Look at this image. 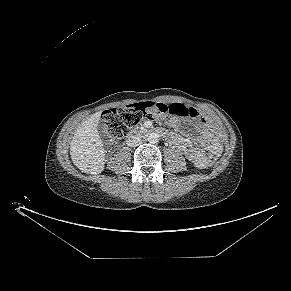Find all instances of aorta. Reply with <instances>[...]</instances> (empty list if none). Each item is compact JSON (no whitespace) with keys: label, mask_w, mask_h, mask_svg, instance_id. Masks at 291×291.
Listing matches in <instances>:
<instances>
[{"label":"aorta","mask_w":291,"mask_h":291,"mask_svg":"<svg viewBox=\"0 0 291 291\" xmlns=\"http://www.w3.org/2000/svg\"><path fill=\"white\" fill-rule=\"evenodd\" d=\"M148 141L150 143H157L159 141V136L156 134V133H151L149 136H148Z\"/></svg>","instance_id":"1"}]
</instances>
